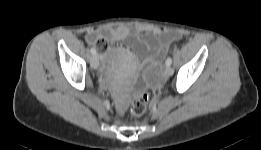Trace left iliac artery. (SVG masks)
<instances>
[{
    "instance_id": "left-iliac-artery-1",
    "label": "left iliac artery",
    "mask_w": 261,
    "mask_h": 150,
    "mask_svg": "<svg viewBox=\"0 0 261 150\" xmlns=\"http://www.w3.org/2000/svg\"><path fill=\"white\" fill-rule=\"evenodd\" d=\"M171 63H172V59L170 57H168L166 60V66H170Z\"/></svg>"
}]
</instances>
